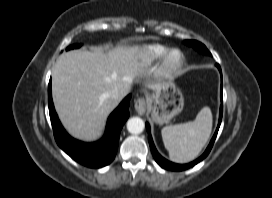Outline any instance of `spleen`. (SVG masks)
<instances>
[{"mask_svg":"<svg viewBox=\"0 0 272 198\" xmlns=\"http://www.w3.org/2000/svg\"><path fill=\"white\" fill-rule=\"evenodd\" d=\"M211 131L212 113L209 107H204L194 121L166 126L161 134L170 159L176 163H187L199 155Z\"/></svg>","mask_w":272,"mask_h":198,"instance_id":"3e777b00","label":"spleen"}]
</instances>
